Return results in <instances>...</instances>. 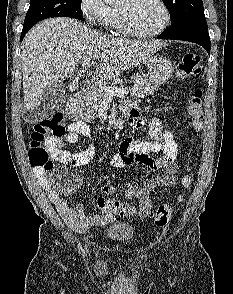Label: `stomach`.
Instances as JSON below:
<instances>
[{
  "label": "stomach",
  "instance_id": "stomach-1",
  "mask_svg": "<svg viewBox=\"0 0 233 294\" xmlns=\"http://www.w3.org/2000/svg\"><path fill=\"white\" fill-rule=\"evenodd\" d=\"M146 64L149 80L155 85L164 84L173 75L172 62L163 56L149 57Z\"/></svg>",
  "mask_w": 233,
  "mask_h": 294
}]
</instances>
